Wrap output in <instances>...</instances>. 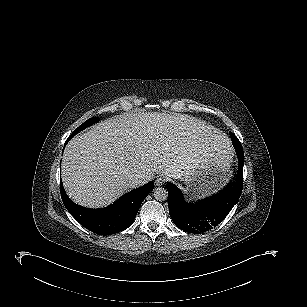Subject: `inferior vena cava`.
Instances as JSON below:
<instances>
[{
  "label": "inferior vena cava",
  "instance_id": "602c4592",
  "mask_svg": "<svg viewBox=\"0 0 307 307\" xmlns=\"http://www.w3.org/2000/svg\"><path fill=\"white\" fill-rule=\"evenodd\" d=\"M148 182V179L147 178H144V177H137V178H134L131 182H130V187L131 188H137L143 184H146Z\"/></svg>",
  "mask_w": 307,
  "mask_h": 307
}]
</instances>
